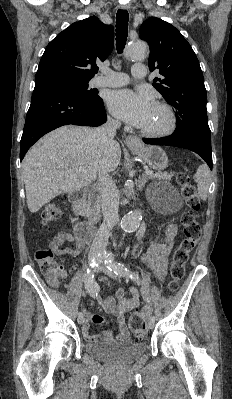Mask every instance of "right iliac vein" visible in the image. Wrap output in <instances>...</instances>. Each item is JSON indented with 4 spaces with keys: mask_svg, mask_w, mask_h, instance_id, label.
Returning a JSON list of instances; mask_svg holds the SVG:
<instances>
[{
    "mask_svg": "<svg viewBox=\"0 0 232 399\" xmlns=\"http://www.w3.org/2000/svg\"><path fill=\"white\" fill-rule=\"evenodd\" d=\"M93 272H96V266H93ZM77 322H78V324H79V323H82V324H83V322H84V316H83V315L78 316V317H77Z\"/></svg>",
    "mask_w": 232,
    "mask_h": 399,
    "instance_id": "1",
    "label": "right iliac vein"
}]
</instances>
